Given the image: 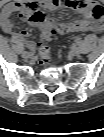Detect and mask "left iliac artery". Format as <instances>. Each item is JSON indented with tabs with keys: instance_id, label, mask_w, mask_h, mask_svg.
<instances>
[{
	"instance_id": "44dca946",
	"label": "left iliac artery",
	"mask_w": 104,
	"mask_h": 137,
	"mask_svg": "<svg viewBox=\"0 0 104 137\" xmlns=\"http://www.w3.org/2000/svg\"><path fill=\"white\" fill-rule=\"evenodd\" d=\"M76 43L79 44L80 43V39H76Z\"/></svg>"
}]
</instances>
